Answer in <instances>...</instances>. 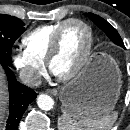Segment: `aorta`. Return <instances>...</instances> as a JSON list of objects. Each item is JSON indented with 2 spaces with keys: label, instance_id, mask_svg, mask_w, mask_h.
Masks as SVG:
<instances>
[{
  "label": "aorta",
  "instance_id": "1",
  "mask_svg": "<svg viewBox=\"0 0 130 130\" xmlns=\"http://www.w3.org/2000/svg\"><path fill=\"white\" fill-rule=\"evenodd\" d=\"M37 105L41 110L49 111L54 106V100L46 94H41L37 98Z\"/></svg>",
  "mask_w": 130,
  "mask_h": 130
}]
</instances>
